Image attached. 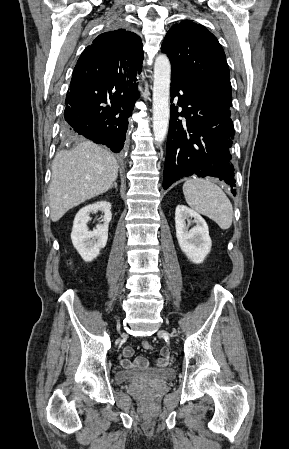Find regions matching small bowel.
Returning <instances> with one entry per match:
<instances>
[{
	"instance_id": "1",
	"label": "small bowel",
	"mask_w": 289,
	"mask_h": 449,
	"mask_svg": "<svg viewBox=\"0 0 289 449\" xmlns=\"http://www.w3.org/2000/svg\"><path fill=\"white\" fill-rule=\"evenodd\" d=\"M161 355L159 359L156 361V365L158 367L167 368L169 366V361L171 360V351L168 347L163 346L160 349ZM123 358L120 361L122 368L124 369H145L149 367V361L145 357H137L134 360H131V357L134 354V349L130 346H127L123 349Z\"/></svg>"
}]
</instances>
